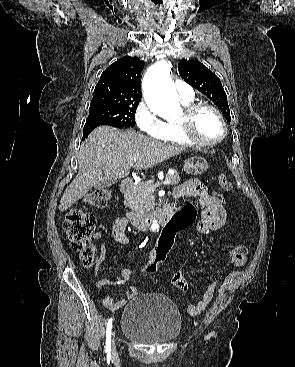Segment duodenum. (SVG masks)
<instances>
[{
    "instance_id": "1",
    "label": "duodenum",
    "mask_w": 295,
    "mask_h": 367,
    "mask_svg": "<svg viewBox=\"0 0 295 367\" xmlns=\"http://www.w3.org/2000/svg\"><path fill=\"white\" fill-rule=\"evenodd\" d=\"M133 188V183L131 179H125L120 185V191L123 194H128ZM176 209L173 205H166L162 209L149 213V214H139L134 212H128L127 218L129 221L139 229H147L152 225H162L167 223L168 219H173L175 216Z\"/></svg>"
}]
</instances>
